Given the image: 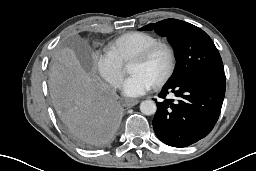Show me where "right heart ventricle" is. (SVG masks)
I'll list each match as a JSON object with an SVG mask.
<instances>
[{
  "label": "right heart ventricle",
  "instance_id": "obj_1",
  "mask_svg": "<svg viewBox=\"0 0 256 171\" xmlns=\"http://www.w3.org/2000/svg\"><path fill=\"white\" fill-rule=\"evenodd\" d=\"M159 39L146 32L133 31L113 40L107 50L122 63L130 62L136 54L158 42Z\"/></svg>",
  "mask_w": 256,
  "mask_h": 171
}]
</instances>
